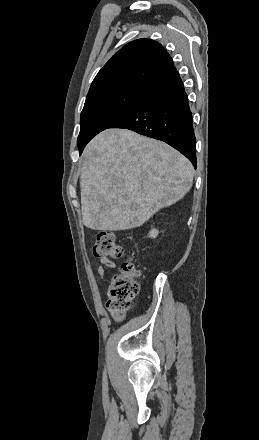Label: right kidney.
<instances>
[{
    "instance_id": "1",
    "label": "right kidney",
    "mask_w": 259,
    "mask_h": 440,
    "mask_svg": "<svg viewBox=\"0 0 259 440\" xmlns=\"http://www.w3.org/2000/svg\"><path fill=\"white\" fill-rule=\"evenodd\" d=\"M158 233H159V231H158L157 229H152V230L149 232V237H151V238H156L157 235H158Z\"/></svg>"
}]
</instances>
